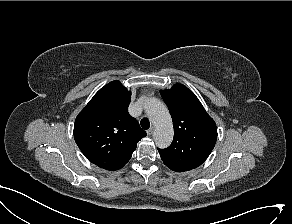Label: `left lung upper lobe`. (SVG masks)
Wrapping results in <instances>:
<instances>
[{
	"label": "left lung upper lobe",
	"mask_w": 292,
	"mask_h": 224,
	"mask_svg": "<svg viewBox=\"0 0 292 224\" xmlns=\"http://www.w3.org/2000/svg\"><path fill=\"white\" fill-rule=\"evenodd\" d=\"M161 95L170 111L174 138L166 149H158L164 164L184 172L200 166L213 150L217 127L196 95L183 84H175Z\"/></svg>",
	"instance_id": "obj_1"
}]
</instances>
